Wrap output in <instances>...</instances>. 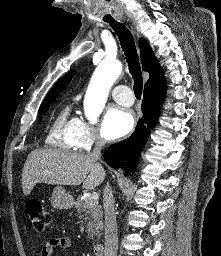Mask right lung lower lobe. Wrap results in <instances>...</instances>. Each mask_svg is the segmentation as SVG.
<instances>
[{"instance_id":"1","label":"right lung lower lobe","mask_w":221,"mask_h":256,"mask_svg":"<svg viewBox=\"0 0 221 256\" xmlns=\"http://www.w3.org/2000/svg\"><path fill=\"white\" fill-rule=\"evenodd\" d=\"M164 98L165 88L144 90L141 105L143 119L139 120L135 131L129 138L112 144L107 149L105 161L109 166L123 169L126 176L134 174L136 162L147 141L150 128L156 124Z\"/></svg>"}]
</instances>
